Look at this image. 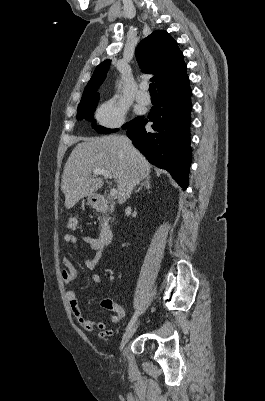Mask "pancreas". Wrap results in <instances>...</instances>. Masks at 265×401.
<instances>
[{"label": "pancreas", "instance_id": "obj_1", "mask_svg": "<svg viewBox=\"0 0 265 401\" xmlns=\"http://www.w3.org/2000/svg\"><path fill=\"white\" fill-rule=\"evenodd\" d=\"M99 219H105V217H99Z\"/></svg>", "mask_w": 265, "mask_h": 401}]
</instances>
